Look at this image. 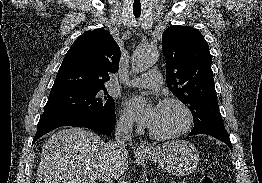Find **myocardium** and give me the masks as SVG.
<instances>
[{
	"label": "myocardium",
	"instance_id": "1",
	"mask_svg": "<svg viewBox=\"0 0 262 183\" xmlns=\"http://www.w3.org/2000/svg\"><path fill=\"white\" fill-rule=\"evenodd\" d=\"M160 104H176V105H178L186 113L187 122H186V125L181 130H179L175 133H172V134H168V135L158 134V133L154 132L153 130H151L149 128L148 133L152 138H154L156 140H160V141L172 140V139H176V138L186 134L188 131L191 130L193 123H194V116H193V112H192L191 108L184 101H182L178 98L170 97V98L163 99L160 102Z\"/></svg>",
	"mask_w": 262,
	"mask_h": 183
}]
</instances>
